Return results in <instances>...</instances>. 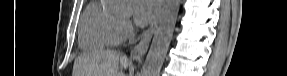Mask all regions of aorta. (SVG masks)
<instances>
[{"label":"aorta","instance_id":"aorta-1","mask_svg":"<svg viewBox=\"0 0 287 76\" xmlns=\"http://www.w3.org/2000/svg\"><path fill=\"white\" fill-rule=\"evenodd\" d=\"M179 6L180 0H162L154 37L141 76H159L173 37Z\"/></svg>","mask_w":287,"mask_h":76}]
</instances>
